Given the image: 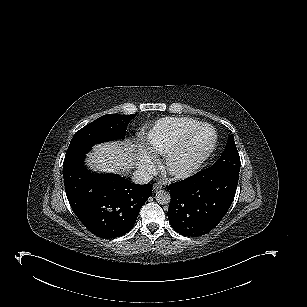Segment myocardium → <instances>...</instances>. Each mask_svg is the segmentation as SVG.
<instances>
[{"label":"myocardium","instance_id":"obj_1","mask_svg":"<svg viewBox=\"0 0 307 307\" xmlns=\"http://www.w3.org/2000/svg\"><path fill=\"white\" fill-rule=\"evenodd\" d=\"M201 129L202 128L193 129L188 135L183 137L181 141L171 151H169L163 157V159L160 161V166H161V169L165 173H167L168 175L174 178H183L189 175L191 172H193V170H195L197 167L201 165V163L203 162V158L196 159L195 162L190 167H186V168H172L170 166L171 160L178 153V151L188 142H190L191 140H194L195 136L200 132Z\"/></svg>","mask_w":307,"mask_h":307}]
</instances>
